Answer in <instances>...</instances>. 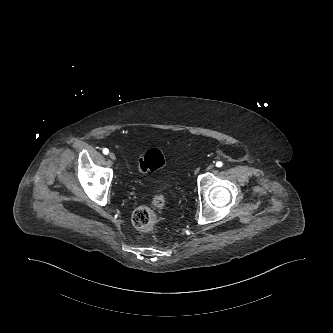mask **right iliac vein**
Returning a JSON list of instances; mask_svg holds the SVG:
<instances>
[{"mask_svg": "<svg viewBox=\"0 0 333 333\" xmlns=\"http://www.w3.org/2000/svg\"><path fill=\"white\" fill-rule=\"evenodd\" d=\"M109 157H110V159H112V160H115L116 159V155L114 154V153H110L109 154Z\"/></svg>", "mask_w": 333, "mask_h": 333, "instance_id": "63e3f726", "label": "right iliac vein"}]
</instances>
